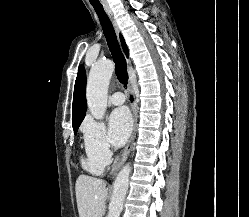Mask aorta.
I'll return each instance as SVG.
<instances>
[{"instance_id": "1", "label": "aorta", "mask_w": 249, "mask_h": 217, "mask_svg": "<svg viewBox=\"0 0 249 217\" xmlns=\"http://www.w3.org/2000/svg\"><path fill=\"white\" fill-rule=\"evenodd\" d=\"M114 71L113 62L105 60L96 63L90 70L86 98L88 108L95 119H102L107 106L108 85ZM131 168L129 164L118 173L114 184L107 217H119L129 185Z\"/></svg>"}]
</instances>
